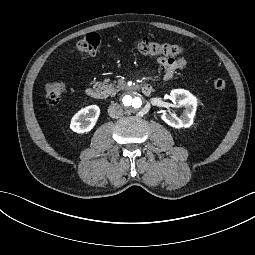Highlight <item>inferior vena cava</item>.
I'll use <instances>...</instances> for the list:
<instances>
[{
    "label": "inferior vena cava",
    "instance_id": "602c4592",
    "mask_svg": "<svg viewBox=\"0 0 255 255\" xmlns=\"http://www.w3.org/2000/svg\"><path fill=\"white\" fill-rule=\"evenodd\" d=\"M108 114L111 118H119L123 114V110L119 104L113 102L108 107Z\"/></svg>",
    "mask_w": 255,
    "mask_h": 255
}]
</instances>
